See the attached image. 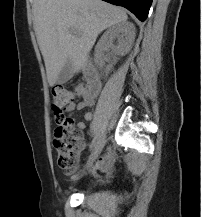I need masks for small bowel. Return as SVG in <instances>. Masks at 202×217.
<instances>
[{"label":"small bowel","mask_w":202,"mask_h":217,"mask_svg":"<svg viewBox=\"0 0 202 217\" xmlns=\"http://www.w3.org/2000/svg\"><path fill=\"white\" fill-rule=\"evenodd\" d=\"M76 94L81 98V100L77 103L69 107L68 112H72L73 110H83L87 107H91L94 104V100L98 93L96 94H89L86 90L85 86H77L75 88ZM84 118L86 121H89L92 119V113L87 112L84 115ZM71 123L73 126L79 129H84L85 123L84 122H75L73 119H71ZM118 155L114 152L108 153L95 164V166L92 169V172H95L96 170L102 171V172H109L112 167L114 166V163L117 161Z\"/></svg>","instance_id":"small-bowel-1"}]
</instances>
